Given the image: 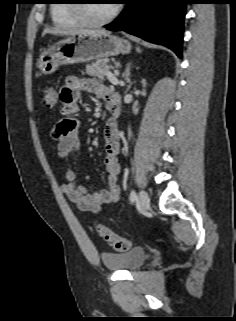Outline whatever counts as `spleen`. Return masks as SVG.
I'll return each mask as SVG.
<instances>
[{
	"instance_id": "spleen-1",
	"label": "spleen",
	"mask_w": 236,
	"mask_h": 321,
	"mask_svg": "<svg viewBox=\"0 0 236 321\" xmlns=\"http://www.w3.org/2000/svg\"><path fill=\"white\" fill-rule=\"evenodd\" d=\"M137 51H138V52H140V49H139V48H137Z\"/></svg>"
}]
</instances>
